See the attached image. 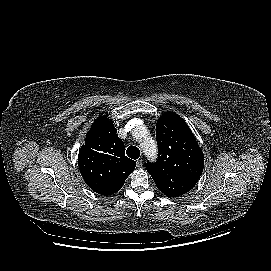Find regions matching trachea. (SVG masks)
<instances>
[{
	"instance_id": "1",
	"label": "trachea",
	"mask_w": 271,
	"mask_h": 271,
	"mask_svg": "<svg viewBox=\"0 0 271 271\" xmlns=\"http://www.w3.org/2000/svg\"><path fill=\"white\" fill-rule=\"evenodd\" d=\"M126 152L131 159L136 160L140 157V150L136 146H129Z\"/></svg>"
}]
</instances>
